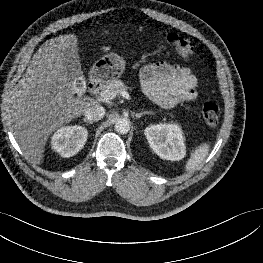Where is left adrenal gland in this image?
<instances>
[{
    "mask_svg": "<svg viewBox=\"0 0 263 263\" xmlns=\"http://www.w3.org/2000/svg\"><path fill=\"white\" fill-rule=\"evenodd\" d=\"M145 114H153V112H151V111H141L139 113H136L135 116H136V118H140L142 115H145Z\"/></svg>",
    "mask_w": 263,
    "mask_h": 263,
    "instance_id": "1",
    "label": "left adrenal gland"
}]
</instances>
